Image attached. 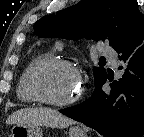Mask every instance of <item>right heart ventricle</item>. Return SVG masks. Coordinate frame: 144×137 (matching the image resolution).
<instances>
[{"mask_svg": "<svg viewBox=\"0 0 144 137\" xmlns=\"http://www.w3.org/2000/svg\"><path fill=\"white\" fill-rule=\"evenodd\" d=\"M48 55L46 54H39L35 56L25 67L24 71L22 72L18 83H17V88H16V94L18 99L27 104H31L36 102L34 97L30 94L28 87H27V81H28V76L30 74V71L32 68L41 60L46 59Z\"/></svg>", "mask_w": 144, "mask_h": 137, "instance_id": "e07e8e85", "label": "right heart ventricle"}]
</instances>
